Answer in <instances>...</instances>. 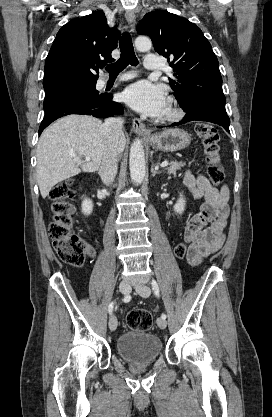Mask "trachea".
Instances as JSON below:
<instances>
[{"label":"trachea","mask_w":272,"mask_h":417,"mask_svg":"<svg viewBox=\"0 0 272 417\" xmlns=\"http://www.w3.org/2000/svg\"><path fill=\"white\" fill-rule=\"evenodd\" d=\"M119 47L121 51L120 58L115 63L110 64L106 67V70L109 72V75H118L129 64L133 66H136L138 64V60L133 48L132 39L128 32L123 33L119 42Z\"/></svg>","instance_id":"1"}]
</instances>
